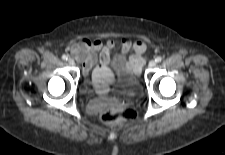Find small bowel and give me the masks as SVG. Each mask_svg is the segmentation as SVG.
<instances>
[{"label":"small bowel","mask_w":225,"mask_h":155,"mask_svg":"<svg viewBox=\"0 0 225 155\" xmlns=\"http://www.w3.org/2000/svg\"><path fill=\"white\" fill-rule=\"evenodd\" d=\"M118 48L121 53L131 52L126 61L127 67L135 74L140 73L144 64L143 53L146 46L142 41L132 42L129 38L111 39L107 42L101 39L82 38L71 45V53L82 64L84 74L92 72V84L99 91H106L108 85L114 82V75L109 68L111 50Z\"/></svg>","instance_id":"c3829d8e"}]
</instances>
